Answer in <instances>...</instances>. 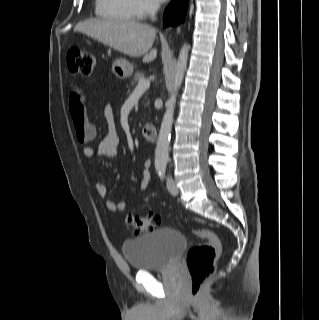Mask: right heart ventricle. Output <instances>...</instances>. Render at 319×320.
<instances>
[{
	"label": "right heart ventricle",
	"mask_w": 319,
	"mask_h": 320,
	"mask_svg": "<svg viewBox=\"0 0 319 320\" xmlns=\"http://www.w3.org/2000/svg\"><path fill=\"white\" fill-rule=\"evenodd\" d=\"M95 12L100 18L117 22H131L135 17L130 0H96Z\"/></svg>",
	"instance_id": "e07e8e85"
}]
</instances>
